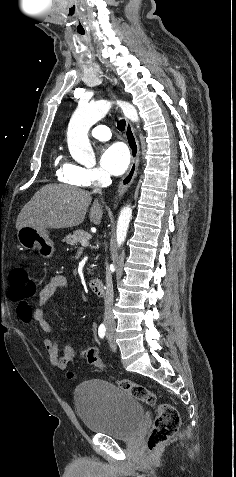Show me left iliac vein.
Listing matches in <instances>:
<instances>
[{
	"mask_svg": "<svg viewBox=\"0 0 236 477\" xmlns=\"http://www.w3.org/2000/svg\"><path fill=\"white\" fill-rule=\"evenodd\" d=\"M109 344H110V347L113 351L117 350V345H116L115 340L113 338H109Z\"/></svg>",
	"mask_w": 236,
	"mask_h": 477,
	"instance_id": "4c4485c4",
	"label": "left iliac vein"
}]
</instances>
